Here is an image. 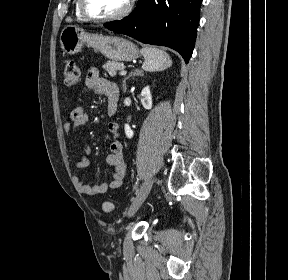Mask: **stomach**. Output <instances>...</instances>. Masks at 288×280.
<instances>
[{
    "mask_svg": "<svg viewBox=\"0 0 288 280\" xmlns=\"http://www.w3.org/2000/svg\"><path fill=\"white\" fill-rule=\"evenodd\" d=\"M60 44L62 50L70 55L80 52L83 45H87L114 62L132 61L139 56L138 47L125 38L87 33L76 25L64 27Z\"/></svg>",
    "mask_w": 288,
    "mask_h": 280,
    "instance_id": "0dacf381",
    "label": "stomach"
}]
</instances>
